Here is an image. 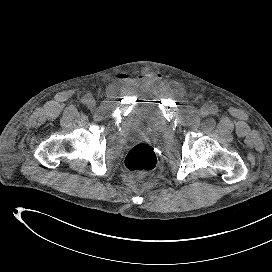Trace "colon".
Wrapping results in <instances>:
<instances>
[{
  "label": "colon",
  "mask_w": 272,
  "mask_h": 272,
  "mask_svg": "<svg viewBox=\"0 0 272 272\" xmlns=\"http://www.w3.org/2000/svg\"><path fill=\"white\" fill-rule=\"evenodd\" d=\"M157 157L153 149L146 144L132 147L125 157V167L131 172H145L155 168Z\"/></svg>",
  "instance_id": "colon-1"
}]
</instances>
